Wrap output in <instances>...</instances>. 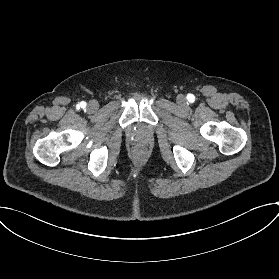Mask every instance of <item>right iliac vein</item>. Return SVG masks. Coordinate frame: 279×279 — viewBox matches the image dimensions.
<instances>
[{"mask_svg":"<svg viewBox=\"0 0 279 279\" xmlns=\"http://www.w3.org/2000/svg\"><path fill=\"white\" fill-rule=\"evenodd\" d=\"M98 102L93 100V101H90L87 105V109L90 111V112H94L98 109Z\"/></svg>","mask_w":279,"mask_h":279,"instance_id":"63e3f726","label":"right iliac vein"}]
</instances>
